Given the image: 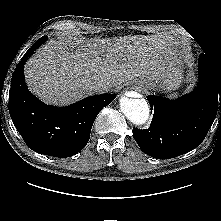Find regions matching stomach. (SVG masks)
I'll return each mask as SVG.
<instances>
[{
  "label": "stomach",
  "mask_w": 221,
  "mask_h": 221,
  "mask_svg": "<svg viewBox=\"0 0 221 221\" xmlns=\"http://www.w3.org/2000/svg\"><path fill=\"white\" fill-rule=\"evenodd\" d=\"M178 64H180V62ZM177 65L174 67V69L166 73L163 77L159 78L155 82H153V80H149L146 78H139L135 79L133 83L136 85V87L140 89H145V88L154 89L155 87H158L160 90L164 92L171 93L172 91L177 90L181 85L182 76ZM172 95H175V93Z\"/></svg>",
  "instance_id": "0dacf381"
}]
</instances>
